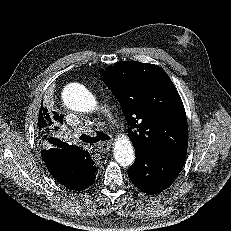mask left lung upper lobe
Returning <instances> with one entry per match:
<instances>
[{"instance_id": "obj_1", "label": "left lung upper lobe", "mask_w": 231, "mask_h": 231, "mask_svg": "<svg viewBox=\"0 0 231 231\" xmlns=\"http://www.w3.org/2000/svg\"><path fill=\"white\" fill-rule=\"evenodd\" d=\"M101 77L122 107L135 149H148L166 158L186 157L185 109L163 69L154 64L122 61L101 70Z\"/></svg>"}]
</instances>
